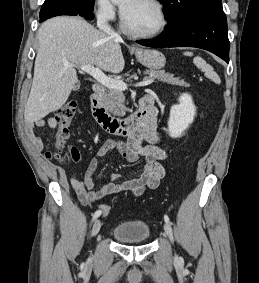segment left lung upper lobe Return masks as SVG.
Listing matches in <instances>:
<instances>
[{
    "label": "left lung upper lobe",
    "instance_id": "left-lung-upper-lobe-1",
    "mask_svg": "<svg viewBox=\"0 0 259 283\" xmlns=\"http://www.w3.org/2000/svg\"><path fill=\"white\" fill-rule=\"evenodd\" d=\"M163 3L168 27H173L196 12L211 5L221 4V0H158Z\"/></svg>",
    "mask_w": 259,
    "mask_h": 283
}]
</instances>
